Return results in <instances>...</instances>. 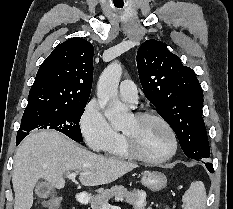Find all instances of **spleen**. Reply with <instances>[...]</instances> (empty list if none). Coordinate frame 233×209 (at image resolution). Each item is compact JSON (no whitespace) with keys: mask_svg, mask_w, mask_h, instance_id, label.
I'll use <instances>...</instances> for the list:
<instances>
[{"mask_svg":"<svg viewBox=\"0 0 233 209\" xmlns=\"http://www.w3.org/2000/svg\"><path fill=\"white\" fill-rule=\"evenodd\" d=\"M184 209H205L206 189L202 181L193 182L182 198Z\"/></svg>","mask_w":233,"mask_h":209,"instance_id":"obj_1","label":"spleen"}]
</instances>
